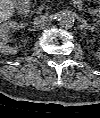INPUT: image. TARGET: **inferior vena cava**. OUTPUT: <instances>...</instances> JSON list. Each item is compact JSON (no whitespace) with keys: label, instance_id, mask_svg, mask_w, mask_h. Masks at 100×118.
I'll return each mask as SVG.
<instances>
[{"label":"inferior vena cava","instance_id":"602c4592","mask_svg":"<svg viewBox=\"0 0 100 118\" xmlns=\"http://www.w3.org/2000/svg\"><path fill=\"white\" fill-rule=\"evenodd\" d=\"M48 16L47 15H39L35 17L34 19V24L36 25H43L48 21Z\"/></svg>","mask_w":100,"mask_h":118}]
</instances>
